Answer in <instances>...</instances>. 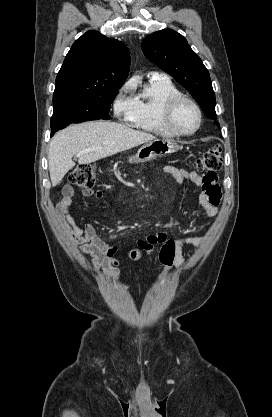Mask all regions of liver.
Segmentation results:
<instances>
[{
	"mask_svg": "<svg viewBox=\"0 0 272 417\" xmlns=\"http://www.w3.org/2000/svg\"><path fill=\"white\" fill-rule=\"evenodd\" d=\"M153 139L156 137L152 134L114 122L90 121L71 125L56 133L50 141L48 163L52 186L75 166L72 157L80 151L92 149L78 157V163L83 165Z\"/></svg>",
	"mask_w": 272,
	"mask_h": 417,
	"instance_id": "obj_1",
	"label": "liver"
}]
</instances>
